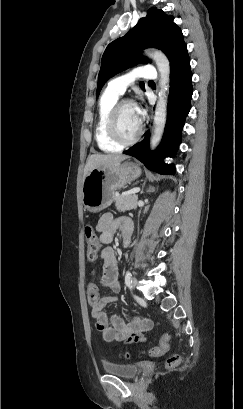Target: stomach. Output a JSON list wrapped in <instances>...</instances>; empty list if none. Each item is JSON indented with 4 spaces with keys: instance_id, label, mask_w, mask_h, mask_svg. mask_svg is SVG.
Segmentation results:
<instances>
[{
    "instance_id": "obj_1",
    "label": "stomach",
    "mask_w": 243,
    "mask_h": 409,
    "mask_svg": "<svg viewBox=\"0 0 243 409\" xmlns=\"http://www.w3.org/2000/svg\"><path fill=\"white\" fill-rule=\"evenodd\" d=\"M141 175L140 167L133 162L99 169L95 168L82 183V202L89 212H99L110 206L115 192Z\"/></svg>"
}]
</instances>
